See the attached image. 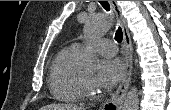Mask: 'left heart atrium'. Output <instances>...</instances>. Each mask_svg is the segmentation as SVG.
Here are the masks:
<instances>
[{
  "instance_id": "39dd6f15",
  "label": "left heart atrium",
  "mask_w": 171,
  "mask_h": 110,
  "mask_svg": "<svg viewBox=\"0 0 171 110\" xmlns=\"http://www.w3.org/2000/svg\"><path fill=\"white\" fill-rule=\"evenodd\" d=\"M124 63L118 59L103 60L98 68L97 74L94 77L93 85L95 88L108 90L114 87L124 75Z\"/></svg>"
}]
</instances>
